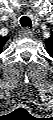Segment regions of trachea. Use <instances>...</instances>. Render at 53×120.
<instances>
[{
	"label": "trachea",
	"instance_id": "3493384b",
	"mask_svg": "<svg viewBox=\"0 0 53 120\" xmlns=\"http://www.w3.org/2000/svg\"><path fill=\"white\" fill-rule=\"evenodd\" d=\"M20 24L22 27H32V21L29 17L23 16L20 18Z\"/></svg>",
	"mask_w": 53,
	"mask_h": 120
}]
</instances>
